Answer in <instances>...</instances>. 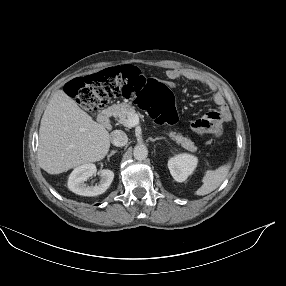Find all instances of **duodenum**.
I'll return each mask as SVG.
<instances>
[{
    "label": "duodenum",
    "instance_id": "duodenum-1",
    "mask_svg": "<svg viewBox=\"0 0 286 286\" xmlns=\"http://www.w3.org/2000/svg\"><path fill=\"white\" fill-rule=\"evenodd\" d=\"M111 109L109 107L104 108L99 115V122L105 128H111Z\"/></svg>",
    "mask_w": 286,
    "mask_h": 286
}]
</instances>
